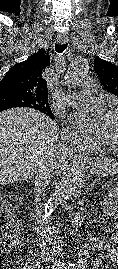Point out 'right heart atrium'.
Listing matches in <instances>:
<instances>
[{"mask_svg":"<svg viewBox=\"0 0 118 269\" xmlns=\"http://www.w3.org/2000/svg\"><path fill=\"white\" fill-rule=\"evenodd\" d=\"M63 135L65 139L71 143L73 146H82V145H88L93 143V140L90 138H87L80 134L79 132L75 131L74 129L70 127H65L63 131Z\"/></svg>","mask_w":118,"mask_h":269,"instance_id":"obj_1","label":"right heart atrium"}]
</instances>
